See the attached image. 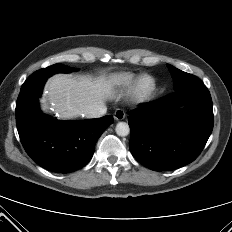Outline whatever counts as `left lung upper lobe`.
<instances>
[{
	"instance_id": "5c2ea615",
	"label": "left lung upper lobe",
	"mask_w": 232,
	"mask_h": 232,
	"mask_svg": "<svg viewBox=\"0 0 232 232\" xmlns=\"http://www.w3.org/2000/svg\"><path fill=\"white\" fill-rule=\"evenodd\" d=\"M169 68V71L172 74L173 77V82H174V90H178L182 87H185L187 85H191L194 83H197L199 81H201L200 79H198L196 76L183 72L175 67H173L172 65H167Z\"/></svg>"
}]
</instances>
